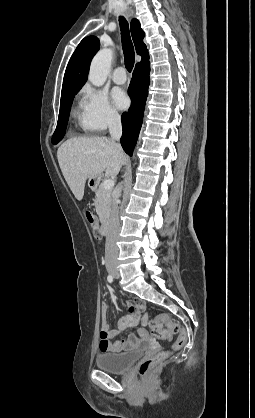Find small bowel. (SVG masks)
<instances>
[{"mask_svg":"<svg viewBox=\"0 0 255 418\" xmlns=\"http://www.w3.org/2000/svg\"><path fill=\"white\" fill-rule=\"evenodd\" d=\"M127 307L129 313L125 319L119 322L120 329H125L128 326L135 324L139 320L141 321L142 325H146L148 317L147 315L142 314L144 310V304L141 301L138 300L135 302H128ZM107 309V305L103 304V319L101 324L99 342V349L101 352H122L128 350L130 348L135 347L139 343L140 337L146 336L145 329L141 328L138 331V334H131L127 339L112 342V340L117 336L118 331L110 329L109 324L106 320Z\"/></svg>","mask_w":255,"mask_h":418,"instance_id":"obj_1","label":"small bowel"}]
</instances>
